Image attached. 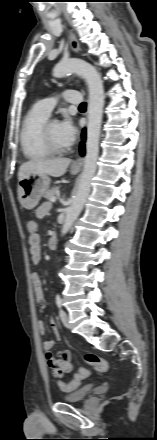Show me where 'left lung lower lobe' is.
<instances>
[{
	"instance_id": "0a47b994",
	"label": "left lung lower lobe",
	"mask_w": 157,
	"mask_h": 440,
	"mask_svg": "<svg viewBox=\"0 0 157 440\" xmlns=\"http://www.w3.org/2000/svg\"><path fill=\"white\" fill-rule=\"evenodd\" d=\"M85 140H86V129H83V131H82V142L80 143V154L82 156H84V154H85V146H84Z\"/></svg>"
}]
</instances>
